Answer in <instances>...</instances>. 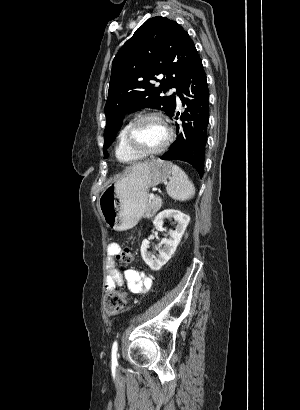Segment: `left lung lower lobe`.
Masks as SVG:
<instances>
[{"label":"left lung lower lobe","instance_id":"1","mask_svg":"<svg viewBox=\"0 0 300 410\" xmlns=\"http://www.w3.org/2000/svg\"><path fill=\"white\" fill-rule=\"evenodd\" d=\"M177 95L186 107L180 118L183 124L181 127L176 125L178 136L160 158L188 162L202 177L209 122V90L199 55L178 86ZM178 116L179 112L174 109L171 117L178 120Z\"/></svg>","mask_w":300,"mask_h":410}]
</instances>
